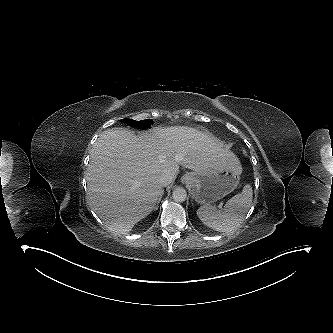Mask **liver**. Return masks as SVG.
<instances>
[{
  "label": "liver",
  "mask_w": 333,
  "mask_h": 333,
  "mask_svg": "<svg viewBox=\"0 0 333 333\" xmlns=\"http://www.w3.org/2000/svg\"><path fill=\"white\" fill-rule=\"evenodd\" d=\"M237 161L214 137L187 126L155 128L141 136L107 129L90 155L89 204L111 231L126 234L162 197L163 186L157 179L163 171H169L174 180L179 165L201 172Z\"/></svg>",
  "instance_id": "1"
}]
</instances>
